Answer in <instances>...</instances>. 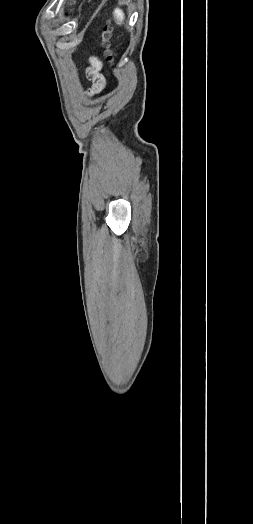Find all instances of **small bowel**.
<instances>
[{
  "mask_svg": "<svg viewBox=\"0 0 253 524\" xmlns=\"http://www.w3.org/2000/svg\"><path fill=\"white\" fill-rule=\"evenodd\" d=\"M88 75L93 82L92 91L94 93L102 92L106 86V81L100 72V64L98 60L93 59L92 67L89 69Z\"/></svg>",
  "mask_w": 253,
  "mask_h": 524,
  "instance_id": "c3829d8e",
  "label": "small bowel"
}]
</instances>
